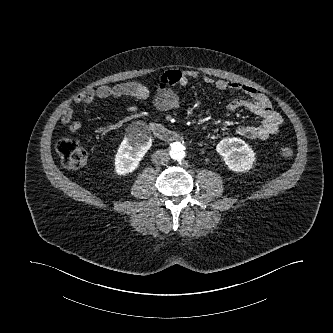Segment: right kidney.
Here are the masks:
<instances>
[{
  "instance_id": "ca27d5eb",
  "label": "right kidney",
  "mask_w": 333,
  "mask_h": 333,
  "mask_svg": "<svg viewBox=\"0 0 333 333\" xmlns=\"http://www.w3.org/2000/svg\"><path fill=\"white\" fill-rule=\"evenodd\" d=\"M151 145L152 139L148 135L126 136L115 156V173L121 176L133 172Z\"/></svg>"
}]
</instances>
